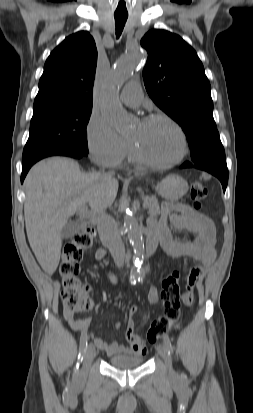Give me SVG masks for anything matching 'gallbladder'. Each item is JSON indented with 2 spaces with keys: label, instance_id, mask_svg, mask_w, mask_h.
Here are the masks:
<instances>
[{
  "label": "gallbladder",
  "instance_id": "gallbladder-1",
  "mask_svg": "<svg viewBox=\"0 0 253 413\" xmlns=\"http://www.w3.org/2000/svg\"><path fill=\"white\" fill-rule=\"evenodd\" d=\"M78 230H79L78 222L73 221V220H69L62 227L61 237L63 239H67V238L71 237L73 234H75L76 232H78Z\"/></svg>",
  "mask_w": 253,
  "mask_h": 413
}]
</instances>
